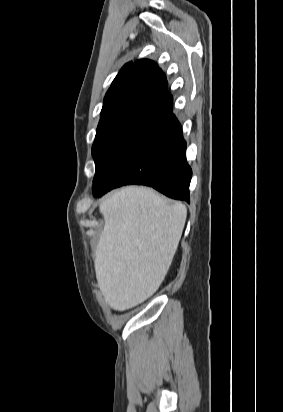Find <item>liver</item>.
Here are the masks:
<instances>
[{
  "mask_svg": "<svg viewBox=\"0 0 283 412\" xmlns=\"http://www.w3.org/2000/svg\"><path fill=\"white\" fill-rule=\"evenodd\" d=\"M99 210L104 228L96 278L106 302L124 311L158 290L181 239L187 208L150 188L128 186L102 201Z\"/></svg>",
  "mask_w": 283,
  "mask_h": 412,
  "instance_id": "liver-1",
  "label": "liver"
}]
</instances>
